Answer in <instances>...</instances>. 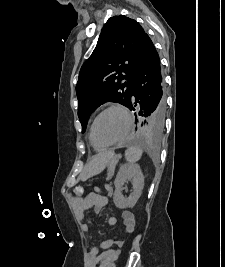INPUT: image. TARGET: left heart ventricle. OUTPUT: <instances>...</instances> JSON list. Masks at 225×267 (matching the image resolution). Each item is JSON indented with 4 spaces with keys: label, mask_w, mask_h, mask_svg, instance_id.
Wrapping results in <instances>:
<instances>
[{
    "label": "left heart ventricle",
    "mask_w": 225,
    "mask_h": 267,
    "mask_svg": "<svg viewBox=\"0 0 225 267\" xmlns=\"http://www.w3.org/2000/svg\"><path fill=\"white\" fill-rule=\"evenodd\" d=\"M127 126L125 115L118 110H111L103 114L95 127L96 140L101 143H110L122 136Z\"/></svg>",
    "instance_id": "obj_1"
}]
</instances>
